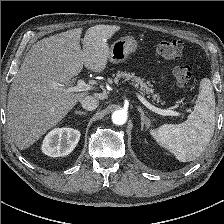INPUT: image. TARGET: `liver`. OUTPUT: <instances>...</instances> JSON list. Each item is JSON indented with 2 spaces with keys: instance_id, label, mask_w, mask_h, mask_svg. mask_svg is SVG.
<instances>
[{
  "instance_id": "1",
  "label": "liver",
  "mask_w": 224,
  "mask_h": 224,
  "mask_svg": "<svg viewBox=\"0 0 224 224\" xmlns=\"http://www.w3.org/2000/svg\"><path fill=\"white\" fill-rule=\"evenodd\" d=\"M120 30L115 25L71 29L34 44L14 77L7 102V128L16 146L24 150L56 126L89 92H64L83 66L104 71L110 48L108 39ZM57 85V86H56Z\"/></svg>"
}]
</instances>
